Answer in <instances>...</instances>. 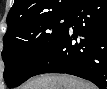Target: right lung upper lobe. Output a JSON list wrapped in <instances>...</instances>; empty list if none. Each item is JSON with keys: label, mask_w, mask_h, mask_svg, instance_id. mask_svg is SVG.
Returning <instances> with one entry per match:
<instances>
[{"label": "right lung upper lobe", "mask_w": 107, "mask_h": 89, "mask_svg": "<svg viewBox=\"0 0 107 89\" xmlns=\"http://www.w3.org/2000/svg\"><path fill=\"white\" fill-rule=\"evenodd\" d=\"M79 0H15L7 16V25L42 16L69 12Z\"/></svg>", "instance_id": "cb5924a9"}]
</instances>
